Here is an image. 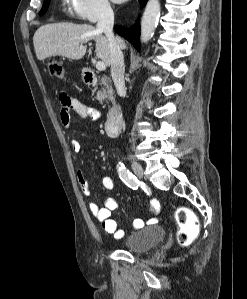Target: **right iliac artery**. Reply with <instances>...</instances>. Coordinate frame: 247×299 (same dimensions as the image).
I'll return each instance as SVG.
<instances>
[{"label":"right iliac artery","instance_id":"right-iliac-artery-1","mask_svg":"<svg viewBox=\"0 0 247 299\" xmlns=\"http://www.w3.org/2000/svg\"><path fill=\"white\" fill-rule=\"evenodd\" d=\"M119 177L120 179L130 188L137 189L139 186V181L137 178L125 167L123 163L119 166Z\"/></svg>","mask_w":247,"mask_h":299}]
</instances>
